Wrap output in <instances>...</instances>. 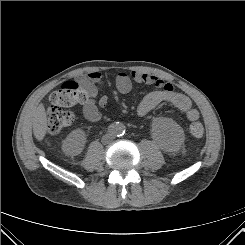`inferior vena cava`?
Wrapping results in <instances>:
<instances>
[{"label": "inferior vena cava", "instance_id": "602c4592", "mask_svg": "<svg viewBox=\"0 0 245 245\" xmlns=\"http://www.w3.org/2000/svg\"><path fill=\"white\" fill-rule=\"evenodd\" d=\"M114 139V136L112 134H106L102 137V142L104 144L110 143Z\"/></svg>", "mask_w": 245, "mask_h": 245}]
</instances>
